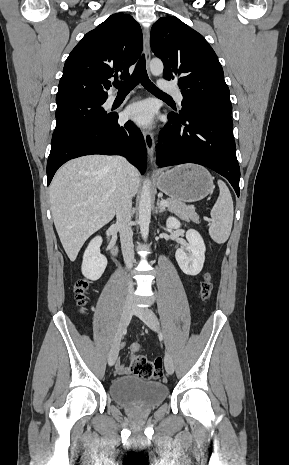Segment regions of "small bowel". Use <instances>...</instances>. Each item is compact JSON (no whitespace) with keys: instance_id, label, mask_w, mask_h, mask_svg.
Instances as JSON below:
<instances>
[{"instance_id":"obj_1","label":"small bowel","mask_w":289,"mask_h":465,"mask_svg":"<svg viewBox=\"0 0 289 465\" xmlns=\"http://www.w3.org/2000/svg\"><path fill=\"white\" fill-rule=\"evenodd\" d=\"M116 371L118 374H127L129 373L130 369L127 366L118 362L116 364Z\"/></svg>"}]
</instances>
